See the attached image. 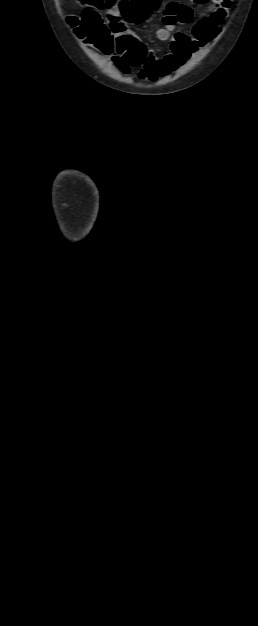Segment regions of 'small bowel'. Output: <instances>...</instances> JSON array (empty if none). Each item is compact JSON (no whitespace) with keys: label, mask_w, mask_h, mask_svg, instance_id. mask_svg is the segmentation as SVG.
Wrapping results in <instances>:
<instances>
[{"label":"small bowel","mask_w":258,"mask_h":626,"mask_svg":"<svg viewBox=\"0 0 258 626\" xmlns=\"http://www.w3.org/2000/svg\"><path fill=\"white\" fill-rule=\"evenodd\" d=\"M232 3L233 0H212L211 12L196 21L190 7L174 1L167 3L163 9V26L157 30L156 35L160 41L170 40V51L161 57L147 52L137 39L124 34L121 13L117 7H113L108 13V30L114 34V38L111 36L112 50L107 54L115 49L117 55L112 58L114 64L123 74L129 75L130 66H135L132 61L135 50L142 47L144 57L138 64L142 67L139 76L150 80L166 77L219 35L221 24ZM179 22L191 24L190 32L176 31V24Z\"/></svg>","instance_id":"obj_1"}]
</instances>
